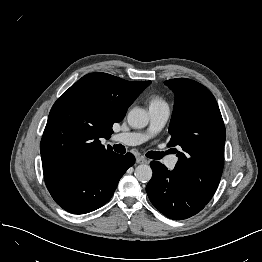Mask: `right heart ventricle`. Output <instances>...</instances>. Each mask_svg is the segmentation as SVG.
Instances as JSON below:
<instances>
[{
	"instance_id": "right-heart-ventricle-1",
	"label": "right heart ventricle",
	"mask_w": 262,
	"mask_h": 262,
	"mask_svg": "<svg viewBox=\"0 0 262 262\" xmlns=\"http://www.w3.org/2000/svg\"><path fill=\"white\" fill-rule=\"evenodd\" d=\"M159 104H165V102L158 96H153L149 100V106L152 105H159Z\"/></svg>"
}]
</instances>
